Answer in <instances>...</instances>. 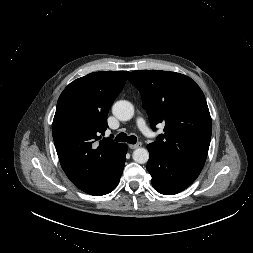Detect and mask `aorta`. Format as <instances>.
Returning a JSON list of instances; mask_svg holds the SVG:
<instances>
[{"label":"aorta","instance_id":"obj_1","mask_svg":"<svg viewBox=\"0 0 253 253\" xmlns=\"http://www.w3.org/2000/svg\"><path fill=\"white\" fill-rule=\"evenodd\" d=\"M112 113L120 121H128L134 115V107L129 101L119 100L113 104ZM132 157L135 162L145 164L149 160V152L145 148H137Z\"/></svg>","mask_w":253,"mask_h":253}]
</instances>
